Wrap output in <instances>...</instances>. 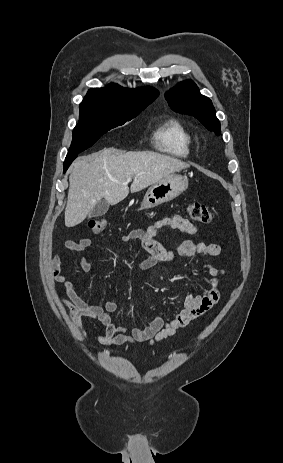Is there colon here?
<instances>
[{
    "instance_id": "colon-1",
    "label": "colon",
    "mask_w": 283,
    "mask_h": 463,
    "mask_svg": "<svg viewBox=\"0 0 283 463\" xmlns=\"http://www.w3.org/2000/svg\"><path fill=\"white\" fill-rule=\"evenodd\" d=\"M187 213L191 219L201 224H209L214 220L213 211L204 204L191 202L187 205ZM107 221L104 217H93L88 221L90 230L94 233H101L105 229Z\"/></svg>"
}]
</instances>
